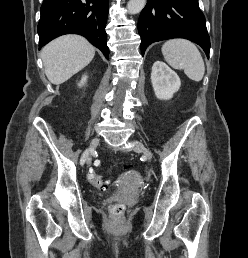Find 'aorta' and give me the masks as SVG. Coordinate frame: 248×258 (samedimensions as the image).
Segmentation results:
<instances>
[{
	"instance_id": "aorta-1",
	"label": "aorta",
	"mask_w": 248,
	"mask_h": 258,
	"mask_svg": "<svg viewBox=\"0 0 248 258\" xmlns=\"http://www.w3.org/2000/svg\"><path fill=\"white\" fill-rule=\"evenodd\" d=\"M146 4V0H130L127 4V10L130 14L139 13Z\"/></svg>"
}]
</instances>
